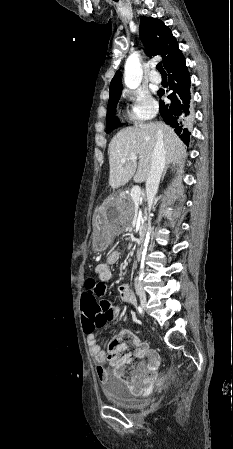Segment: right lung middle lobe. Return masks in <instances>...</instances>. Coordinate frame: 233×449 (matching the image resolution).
Returning <instances> with one entry per match:
<instances>
[{
    "mask_svg": "<svg viewBox=\"0 0 233 449\" xmlns=\"http://www.w3.org/2000/svg\"><path fill=\"white\" fill-rule=\"evenodd\" d=\"M121 94L109 97L108 109H107V121H106V132L109 133L115 128L121 126L118 117L115 116V108L117 106L118 100Z\"/></svg>",
    "mask_w": 233,
    "mask_h": 449,
    "instance_id": "dd1d6c3e",
    "label": "right lung middle lobe"
}]
</instances>
